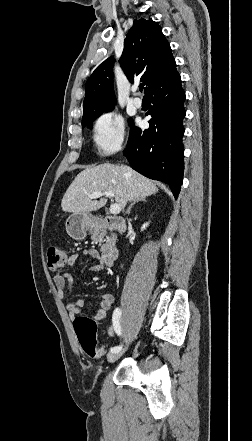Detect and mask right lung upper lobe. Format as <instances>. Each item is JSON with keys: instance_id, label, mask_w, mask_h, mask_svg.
<instances>
[{"instance_id": "1", "label": "right lung upper lobe", "mask_w": 252, "mask_h": 441, "mask_svg": "<svg viewBox=\"0 0 252 441\" xmlns=\"http://www.w3.org/2000/svg\"><path fill=\"white\" fill-rule=\"evenodd\" d=\"M171 48L161 27L152 19L134 20L124 41L120 65L130 82L135 78L146 85L145 93L174 62ZM113 56L101 63L88 78L83 102L82 124L113 108Z\"/></svg>"}]
</instances>
